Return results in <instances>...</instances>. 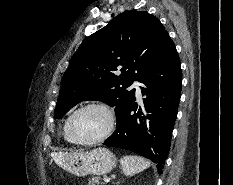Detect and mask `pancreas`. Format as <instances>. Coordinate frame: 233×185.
Here are the masks:
<instances>
[{
    "instance_id": "cf45deb5",
    "label": "pancreas",
    "mask_w": 233,
    "mask_h": 185,
    "mask_svg": "<svg viewBox=\"0 0 233 185\" xmlns=\"http://www.w3.org/2000/svg\"><path fill=\"white\" fill-rule=\"evenodd\" d=\"M88 181H89L88 185H102L103 184L101 182L100 176H95V177L89 178Z\"/></svg>"
}]
</instances>
